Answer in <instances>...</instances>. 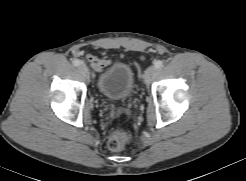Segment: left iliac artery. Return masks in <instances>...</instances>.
Here are the masks:
<instances>
[{
  "mask_svg": "<svg viewBox=\"0 0 246 181\" xmlns=\"http://www.w3.org/2000/svg\"><path fill=\"white\" fill-rule=\"evenodd\" d=\"M154 65L157 69H161L164 66V63L161 60H157L154 62Z\"/></svg>",
  "mask_w": 246,
  "mask_h": 181,
  "instance_id": "1",
  "label": "left iliac artery"
}]
</instances>
